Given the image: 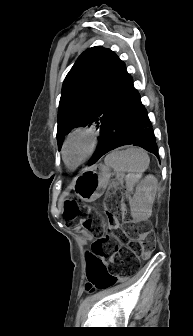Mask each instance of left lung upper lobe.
Segmentation results:
<instances>
[{
	"instance_id": "left-lung-upper-lobe-1",
	"label": "left lung upper lobe",
	"mask_w": 193,
	"mask_h": 336,
	"mask_svg": "<svg viewBox=\"0 0 193 336\" xmlns=\"http://www.w3.org/2000/svg\"><path fill=\"white\" fill-rule=\"evenodd\" d=\"M125 64L101 46L83 52L67 74L58 111V146L73 128L102 122L113 107L126 77Z\"/></svg>"
}]
</instances>
